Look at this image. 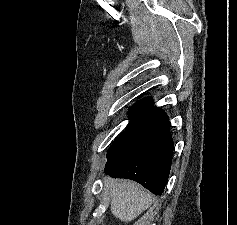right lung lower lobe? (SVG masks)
Here are the masks:
<instances>
[{"mask_svg":"<svg viewBox=\"0 0 237 225\" xmlns=\"http://www.w3.org/2000/svg\"><path fill=\"white\" fill-rule=\"evenodd\" d=\"M174 143L168 116L154 108L133 119L107 152L105 173L131 179L161 195L170 173Z\"/></svg>","mask_w":237,"mask_h":225,"instance_id":"obj_1","label":"right lung lower lobe"}]
</instances>
